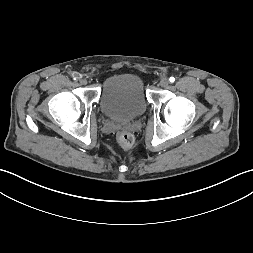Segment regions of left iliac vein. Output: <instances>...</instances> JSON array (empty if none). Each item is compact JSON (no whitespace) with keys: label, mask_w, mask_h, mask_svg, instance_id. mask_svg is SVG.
Returning <instances> with one entry per match:
<instances>
[{"label":"left iliac vein","mask_w":253,"mask_h":253,"mask_svg":"<svg viewBox=\"0 0 253 253\" xmlns=\"http://www.w3.org/2000/svg\"><path fill=\"white\" fill-rule=\"evenodd\" d=\"M169 80L167 79V78H162L161 80H160V86L161 87H163V88H166V87H168V85H169Z\"/></svg>","instance_id":"left-iliac-vein-1"}]
</instances>
